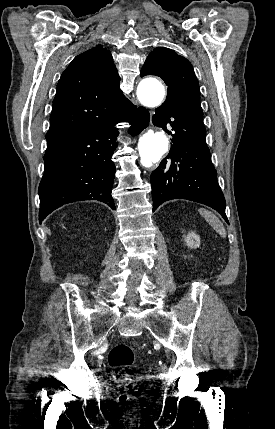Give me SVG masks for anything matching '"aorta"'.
<instances>
[{
	"label": "aorta",
	"mask_w": 275,
	"mask_h": 429,
	"mask_svg": "<svg viewBox=\"0 0 275 429\" xmlns=\"http://www.w3.org/2000/svg\"><path fill=\"white\" fill-rule=\"evenodd\" d=\"M137 96L141 104L147 107L159 106L165 96L164 86L154 78L142 80L137 89ZM168 138L163 131L148 130L138 142L141 163L150 167L158 162L168 150Z\"/></svg>",
	"instance_id": "1"
}]
</instances>
